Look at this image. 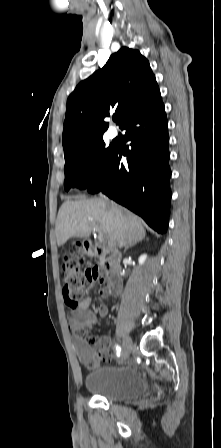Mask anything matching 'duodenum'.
Instances as JSON below:
<instances>
[{
	"instance_id": "410a0bca",
	"label": "duodenum",
	"mask_w": 221,
	"mask_h": 448,
	"mask_svg": "<svg viewBox=\"0 0 221 448\" xmlns=\"http://www.w3.org/2000/svg\"><path fill=\"white\" fill-rule=\"evenodd\" d=\"M84 251L87 256L97 258L106 273L107 280L104 284L108 293L118 294L120 291V267L112 252L103 251L99 247H93L88 241L84 242Z\"/></svg>"
}]
</instances>
